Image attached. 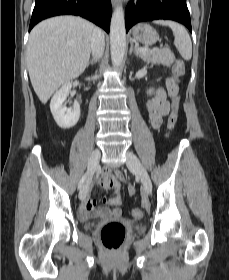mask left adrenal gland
I'll return each mask as SVG.
<instances>
[{
  "instance_id": "left-adrenal-gland-1",
  "label": "left adrenal gland",
  "mask_w": 229,
  "mask_h": 280,
  "mask_svg": "<svg viewBox=\"0 0 229 280\" xmlns=\"http://www.w3.org/2000/svg\"><path fill=\"white\" fill-rule=\"evenodd\" d=\"M132 53H134L136 56H138V52L135 49L133 42L130 43V51H129V55H131Z\"/></svg>"
}]
</instances>
